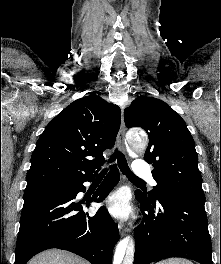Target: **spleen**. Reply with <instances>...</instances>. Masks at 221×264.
<instances>
[{"label":"spleen","instance_id":"spleen-1","mask_svg":"<svg viewBox=\"0 0 221 264\" xmlns=\"http://www.w3.org/2000/svg\"><path fill=\"white\" fill-rule=\"evenodd\" d=\"M156 264H193V263L188 259L176 257V258H169L166 260L159 261Z\"/></svg>","mask_w":221,"mask_h":264}]
</instances>
